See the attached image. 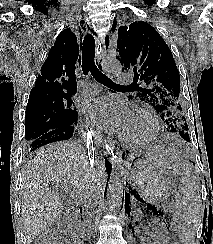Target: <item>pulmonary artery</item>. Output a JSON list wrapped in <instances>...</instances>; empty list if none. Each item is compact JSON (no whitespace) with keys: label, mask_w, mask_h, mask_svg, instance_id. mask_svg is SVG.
Segmentation results:
<instances>
[{"label":"pulmonary artery","mask_w":213,"mask_h":244,"mask_svg":"<svg viewBox=\"0 0 213 244\" xmlns=\"http://www.w3.org/2000/svg\"><path fill=\"white\" fill-rule=\"evenodd\" d=\"M131 77L128 74H119L117 77L118 83H128L130 82ZM101 86L94 83H85L80 89L81 96H92L100 92Z\"/></svg>","instance_id":"pulmonary-artery-1"}]
</instances>
